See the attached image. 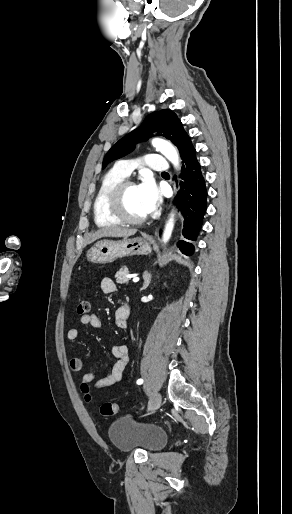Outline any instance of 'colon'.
I'll use <instances>...</instances> for the list:
<instances>
[{
	"instance_id": "obj_1",
	"label": "colon",
	"mask_w": 292,
	"mask_h": 514,
	"mask_svg": "<svg viewBox=\"0 0 292 514\" xmlns=\"http://www.w3.org/2000/svg\"><path fill=\"white\" fill-rule=\"evenodd\" d=\"M91 303L89 300H80L77 304V313L78 315H87L90 312ZM79 393L81 395H86L88 393V386L85 384L79 388ZM119 406L116 402H104L100 405V414L104 417H111L118 413Z\"/></svg>"
}]
</instances>
